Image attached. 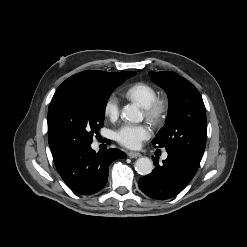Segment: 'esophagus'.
Here are the masks:
<instances>
[{"label": "esophagus", "instance_id": "esophagus-1", "mask_svg": "<svg viewBox=\"0 0 247 247\" xmlns=\"http://www.w3.org/2000/svg\"><path fill=\"white\" fill-rule=\"evenodd\" d=\"M127 155L130 157V158H137V157H140L141 154L139 152H128Z\"/></svg>", "mask_w": 247, "mask_h": 247}]
</instances>
